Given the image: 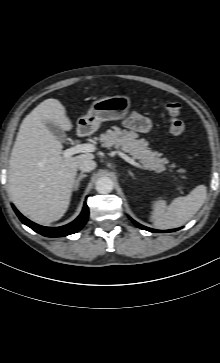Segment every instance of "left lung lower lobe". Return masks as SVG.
<instances>
[{
	"mask_svg": "<svg viewBox=\"0 0 220 363\" xmlns=\"http://www.w3.org/2000/svg\"><path fill=\"white\" fill-rule=\"evenodd\" d=\"M131 220H132V219H131ZM132 221H133V223H134L137 227H139V228H141V229H144V230H147V231H150V232H171V231H175V230L158 231V230H155V229H151V228L145 227V226H143V225H141V224H139V223L135 222L134 220H132ZM176 230H177V229H176Z\"/></svg>",
	"mask_w": 220,
	"mask_h": 363,
	"instance_id": "0a47b994",
	"label": "left lung lower lobe"
}]
</instances>
